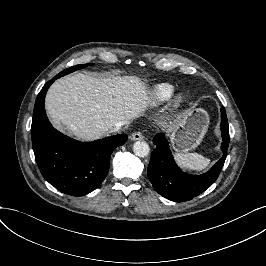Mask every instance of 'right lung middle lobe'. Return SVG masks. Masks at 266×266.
Wrapping results in <instances>:
<instances>
[{
  "mask_svg": "<svg viewBox=\"0 0 266 266\" xmlns=\"http://www.w3.org/2000/svg\"><path fill=\"white\" fill-rule=\"evenodd\" d=\"M89 65H91V64L87 63V64H83V65L73 66V67H70V68H68V69H66V70H64V71H62V72L59 73L58 75H59V76H64V75L69 74V73H71V72H73V71H75V70L81 69V68L86 67V66H89Z\"/></svg>",
  "mask_w": 266,
  "mask_h": 266,
  "instance_id": "right-lung-middle-lobe-1",
  "label": "right lung middle lobe"
}]
</instances>
